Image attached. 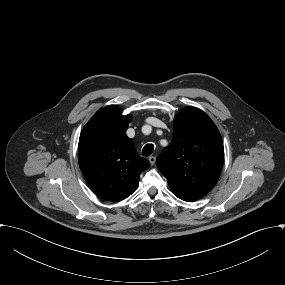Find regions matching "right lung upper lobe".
<instances>
[{
	"instance_id": "right-lung-upper-lobe-1",
	"label": "right lung upper lobe",
	"mask_w": 285,
	"mask_h": 285,
	"mask_svg": "<svg viewBox=\"0 0 285 285\" xmlns=\"http://www.w3.org/2000/svg\"><path fill=\"white\" fill-rule=\"evenodd\" d=\"M132 119L116 105L101 108L81 132L80 169L91 189L109 201H121L138 187L150 162L137 153L126 130Z\"/></svg>"
}]
</instances>
